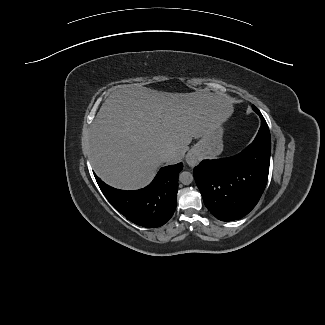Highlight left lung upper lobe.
Instances as JSON below:
<instances>
[{"instance_id":"1","label":"left lung upper lobe","mask_w":325,"mask_h":325,"mask_svg":"<svg viewBox=\"0 0 325 325\" xmlns=\"http://www.w3.org/2000/svg\"><path fill=\"white\" fill-rule=\"evenodd\" d=\"M252 108L255 112H260L255 106H252Z\"/></svg>"}]
</instances>
